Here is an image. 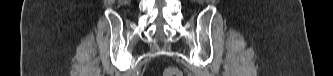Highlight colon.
Returning <instances> with one entry per match:
<instances>
[{
  "label": "colon",
  "mask_w": 333,
  "mask_h": 76,
  "mask_svg": "<svg viewBox=\"0 0 333 76\" xmlns=\"http://www.w3.org/2000/svg\"><path fill=\"white\" fill-rule=\"evenodd\" d=\"M164 76H182V72L176 67H169L165 70Z\"/></svg>",
  "instance_id": "colon-1"
}]
</instances>
